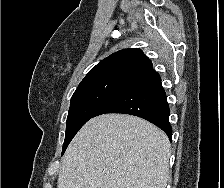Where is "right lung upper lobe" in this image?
Listing matches in <instances>:
<instances>
[{
    "instance_id": "1",
    "label": "right lung upper lobe",
    "mask_w": 224,
    "mask_h": 188,
    "mask_svg": "<svg viewBox=\"0 0 224 188\" xmlns=\"http://www.w3.org/2000/svg\"><path fill=\"white\" fill-rule=\"evenodd\" d=\"M150 67H152L151 60L140 49H123L111 54L94 66L81 83L105 78L132 80Z\"/></svg>"
}]
</instances>
